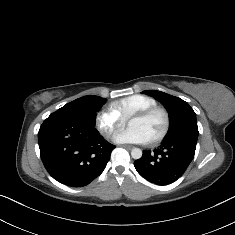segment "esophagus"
Listing matches in <instances>:
<instances>
[{"label":"esophagus","mask_w":235,"mask_h":235,"mask_svg":"<svg viewBox=\"0 0 235 235\" xmlns=\"http://www.w3.org/2000/svg\"><path fill=\"white\" fill-rule=\"evenodd\" d=\"M121 148H125V149H128V150H130V149H132L133 148V146H131V145H128V144H122V145H119Z\"/></svg>","instance_id":"esophagus-1"}]
</instances>
